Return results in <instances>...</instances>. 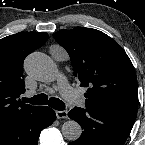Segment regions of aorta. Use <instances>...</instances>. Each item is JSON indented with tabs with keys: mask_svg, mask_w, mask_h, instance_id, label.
<instances>
[{
	"mask_svg": "<svg viewBox=\"0 0 145 145\" xmlns=\"http://www.w3.org/2000/svg\"><path fill=\"white\" fill-rule=\"evenodd\" d=\"M25 70L33 78L42 82H51L58 73L55 63L41 52L31 53L25 60ZM63 136L70 140H77L82 134V128L74 120L66 121L62 125Z\"/></svg>",
	"mask_w": 145,
	"mask_h": 145,
	"instance_id": "aorta-1",
	"label": "aorta"
}]
</instances>
